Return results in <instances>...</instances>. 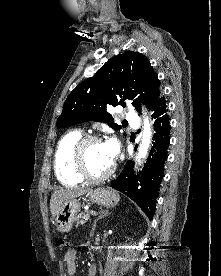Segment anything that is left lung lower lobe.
<instances>
[{"mask_svg":"<svg viewBox=\"0 0 221 276\" xmlns=\"http://www.w3.org/2000/svg\"><path fill=\"white\" fill-rule=\"evenodd\" d=\"M154 118L153 146L144 168L138 175L134 174V163L128 161L118 178L111 182V186L134 200L147 214L153 218L159 186L164 175V163L169 147L170 119L164 97L161 95L153 108Z\"/></svg>","mask_w":221,"mask_h":276,"instance_id":"left-lung-lower-lobe-1","label":"left lung lower lobe"}]
</instances>
